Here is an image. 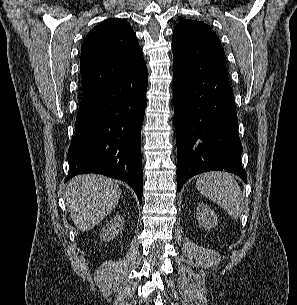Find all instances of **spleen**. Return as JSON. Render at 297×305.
<instances>
[{
  "label": "spleen",
  "instance_id": "obj_1",
  "mask_svg": "<svg viewBox=\"0 0 297 305\" xmlns=\"http://www.w3.org/2000/svg\"><path fill=\"white\" fill-rule=\"evenodd\" d=\"M197 189L205 197L222 206L233 219H238L244 199L237 181L229 173L209 172L199 176Z\"/></svg>",
  "mask_w": 297,
  "mask_h": 305
}]
</instances>
